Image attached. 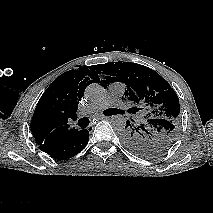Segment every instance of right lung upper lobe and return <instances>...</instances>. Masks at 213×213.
Returning a JSON list of instances; mask_svg holds the SVG:
<instances>
[{"label":"right lung upper lobe","mask_w":213,"mask_h":213,"mask_svg":"<svg viewBox=\"0 0 213 213\" xmlns=\"http://www.w3.org/2000/svg\"><path fill=\"white\" fill-rule=\"evenodd\" d=\"M69 70L56 78L41 96L30 130L38 146H55L74 137L79 131L68 120L77 118L78 102L86 87L99 81L94 67Z\"/></svg>","instance_id":"obj_1"}]
</instances>
